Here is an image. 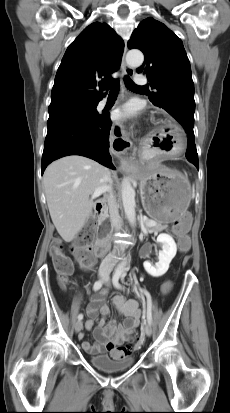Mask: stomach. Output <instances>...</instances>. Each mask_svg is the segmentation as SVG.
Wrapping results in <instances>:
<instances>
[{"instance_id":"stomach-1","label":"stomach","mask_w":230,"mask_h":413,"mask_svg":"<svg viewBox=\"0 0 230 413\" xmlns=\"http://www.w3.org/2000/svg\"><path fill=\"white\" fill-rule=\"evenodd\" d=\"M140 195L144 210L158 223H170L185 213L191 187L182 173L157 166L140 171Z\"/></svg>"}]
</instances>
